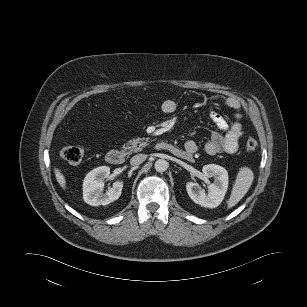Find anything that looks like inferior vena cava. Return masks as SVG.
<instances>
[{
  "label": "inferior vena cava",
  "instance_id": "inferior-vena-cava-1",
  "mask_svg": "<svg viewBox=\"0 0 307 307\" xmlns=\"http://www.w3.org/2000/svg\"><path fill=\"white\" fill-rule=\"evenodd\" d=\"M147 158V155L145 154H137L135 156H133L130 160V164L132 166H137L140 165L141 163H143Z\"/></svg>",
  "mask_w": 307,
  "mask_h": 307
}]
</instances>
